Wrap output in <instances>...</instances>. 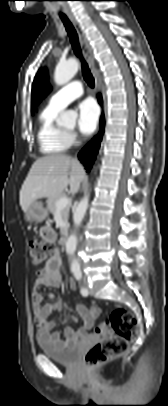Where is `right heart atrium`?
Masks as SVG:
<instances>
[{
  "instance_id": "right-heart-atrium-1",
  "label": "right heart atrium",
  "mask_w": 168,
  "mask_h": 406,
  "mask_svg": "<svg viewBox=\"0 0 168 406\" xmlns=\"http://www.w3.org/2000/svg\"><path fill=\"white\" fill-rule=\"evenodd\" d=\"M69 135H70L71 141L74 142L76 139V135L74 133H70Z\"/></svg>"
}]
</instances>
